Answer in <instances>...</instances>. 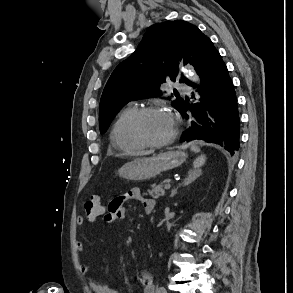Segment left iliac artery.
<instances>
[{"label": "left iliac artery", "instance_id": "44dca946", "mask_svg": "<svg viewBox=\"0 0 293 293\" xmlns=\"http://www.w3.org/2000/svg\"><path fill=\"white\" fill-rule=\"evenodd\" d=\"M157 293H167V292L164 287H160V288H158Z\"/></svg>", "mask_w": 293, "mask_h": 293}]
</instances>
